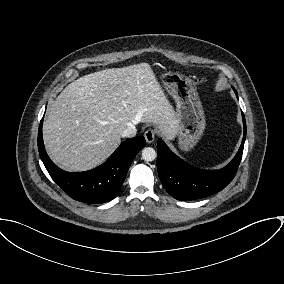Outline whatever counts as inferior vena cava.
Wrapping results in <instances>:
<instances>
[{"label": "inferior vena cava", "mask_w": 284, "mask_h": 284, "mask_svg": "<svg viewBox=\"0 0 284 284\" xmlns=\"http://www.w3.org/2000/svg\"><path fill=\"white\" fill-rule=\"evenodd\" d=\"M137 133L136 127L131 124L122 133V137H134Z\"/></svg>", "instance_id": "602c4592"}]
</instances>
